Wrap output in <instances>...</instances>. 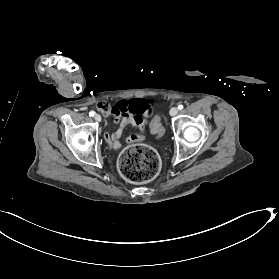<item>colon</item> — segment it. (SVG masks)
Segmentation results:
<instances>
[{
    "label": "colon",
    "mask_w": 279,
    "mask_h": 279,
    "mask_svg": "<svg viewBox=\"0 0 279 279\" xmlns=\"http://www.w3.org/2000/svg\"><path fill=\"white\" fill-rule=\"evenodd\" d=\"M98 110L108 114L111 107L104 102L97 105ZM152 131L161 136L163 127L160 119L155 118L151 124ZM161 166L158 154L150 147L136 145L124 150L119 157V171L123 178L133 183H143L153 179Z\"/></svg>",
    "instance_id": "5ec220e1"
}]
</instances>
